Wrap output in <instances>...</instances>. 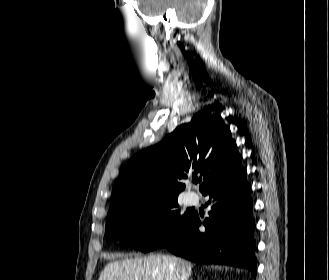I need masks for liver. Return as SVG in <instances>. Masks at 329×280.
I'll use <instances>...</instances> for the list:
<instances>
[{
  "instance_id": "1",
  "label": "liver",
  "mask_w": 329,
  "mask_h": 280,
  "mask_svg": "<svg viewBox=\"0 0 329 280\" xmlns=\"http://www.w3.org/2000/svg\"><path fill=\"white\" fill-rule=\"evenodd\" d=\"M193 265L168 255L125 258L109 262L98 280H188Z\"/></svg>"
}]
</instances>
